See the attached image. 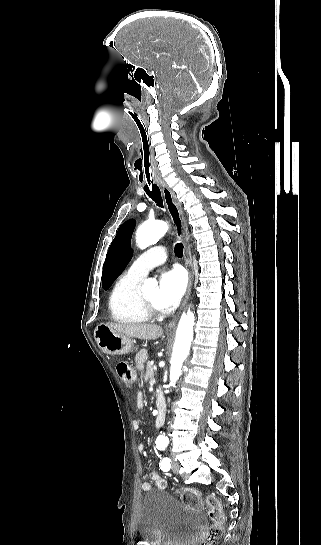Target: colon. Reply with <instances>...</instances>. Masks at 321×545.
Returning a JSON list of instances; mask_svg holds the SVG:
<instances>
[{
	"mask_svg": "<svg viewBox=\"0 0 321 545\" xmlns=\"http://www.w3.org/2000/svg\"><path fill=\"white\" fill-rule=\"evenodd\" d=\"M116 372L127 389H132V369L126 362H119L116 365ZM178 493L183 503L192 510H200L202 502L197 491L191 488H180ZM207 514L212 525L209 527L201 545H216L223 531L224 513L220 501L214 495L205 500Z\"/></svg>",
	"mask_w": 321,
	"mask_h": 545,
	"instance_id": "5ec220e1",
	"label": "colon"
}]
</instances>
